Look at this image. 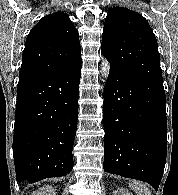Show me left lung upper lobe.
Listing matches in <instances>:
<instances>
[{
  "label": "left lung upper lobe",
  "instance_id": "1",
  "mask_svg": "<svg viewBox=\"0 0 178 195\" xmlns=\"http://www.w3.org/2000/svg\"><path fill=\"white\" fill-rule=\"evenodd\" d=\"M101 52L110 65L163 87L157 40L139 13L123 7L108 11Z\"/></svg>",
  "mask_w": 178,
  "mask_h": 195
}]
</instances>
